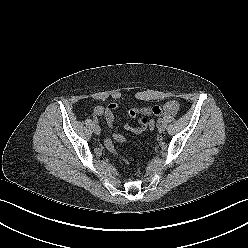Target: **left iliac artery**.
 Segmentation results:
<instances>
[{
    "instance_id": "left-iliac-artery-1",
    "label": "left iliac artery",
    "mask_w": 248,
    "mask_h": 248,
    "mask_svg": "<svg viewBox=\"0 0 248 248\" xmlns=\"http://www.w3.org/2000/svg\"><path fill=\"white\" fill-rule=\"evenodd\" d=\"M157 121H158V123H161V122H162V119H161V118H159Z\"/></svg>"
}]
</instances>
